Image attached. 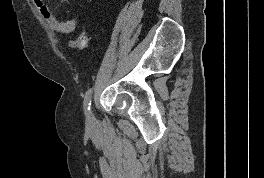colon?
<instances>
[{"mask_svg": "<svg viewBox=\"0 0 264 178\" xmlns=\"http://www.w3.org/2000/svg\"><path fill=\"white\" fill-rule=\"evenodd\" d=\"M89 44V37L86 29H83L81 33L71 41L70 45L79 51H85Z\"/></svg>", "mask_w": 264, "mask_h": 178, "instance_id": "5ec220e1", "label": "colon"}]
</instances>
